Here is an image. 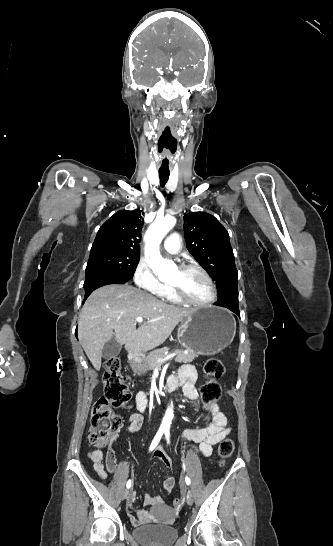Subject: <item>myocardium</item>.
Instances as JSON below:
<instances>
[{
	"label": "myocardium",
	"instance_id": "1",
	"mask_svg": "<svg viewBox=\"0 0 333 546\" xmlns=\"http://www.w3.org/2000/svg\"><path fill=\"white\" fill-rule=\"evenodd\" d=\"M179 270L182 271V272L189 271V270L198 271L199 273H201L204 276V278L208 282V284L210 286V289H211V297L208 300H206V301H194V300H191L190 298H188L187 296H185V294L182 292V290L178 286L171 285L172 292H173L174 296L179 301L184 302V303L189 304V305L197 306V307L209 306V305L213 304L216 301L217 296H218L217 287H216L212 277L210 276V274L202 266L197 265V264H185V265L181 266Z\"/></svg>",
	"mask_w": 333,
	"mask_h": 546
}]
</instances>
